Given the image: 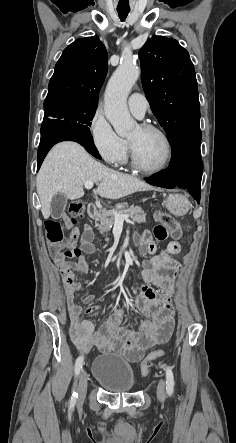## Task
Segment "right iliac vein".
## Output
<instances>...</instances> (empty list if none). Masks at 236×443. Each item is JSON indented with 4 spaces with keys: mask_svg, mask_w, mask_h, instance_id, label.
<instances>
[{
    "mask_svg": "<svg viewBox=\"0 0 236 443\" xmlns=\"http://www.w3.org/2000/svg\"><path fill=\"white\" fill-rule=\"evenodd\" d=\"M87 385H88V375L85 370H82L78 382V394L80 399L85 396L87 392Z\"/></svg>",
    "mask_w": 236,
    "mask_h": 443,
    "instance_id": "63e3f726",
    "label": "right iliac vein"
}]
</instances>
